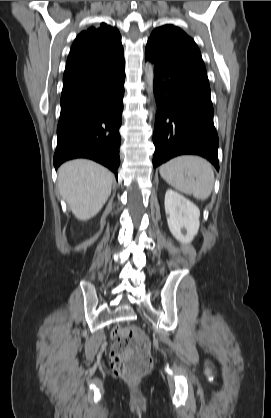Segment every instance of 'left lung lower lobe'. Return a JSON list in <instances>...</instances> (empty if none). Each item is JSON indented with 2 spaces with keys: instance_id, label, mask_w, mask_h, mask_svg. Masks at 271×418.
<instances>
[{
  "instance_id": "1",
  "label": "left lung lower lobe",
  "mask_w": 271,
  "mask_h": 418,
  "mask_svg": "<svg viewBox=\"0 0 271 418\" xmlns=\"http://www.w3.org/2000/svg\"><path fill=\"white\" fill-rule=\"evenodd\" d=\"M145 59L154 63L157 115L153 166L182 154L207 158L217 170L218 135L206 71L147 42Z\"/></svg>"
}]
</instances>
